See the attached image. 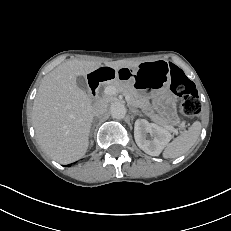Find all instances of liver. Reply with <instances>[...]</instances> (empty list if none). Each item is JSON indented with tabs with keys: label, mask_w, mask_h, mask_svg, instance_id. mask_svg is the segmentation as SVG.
Returning <instances> with one entry per match:
<instances>
[{
	"label": "liver",
	"mask_w": 231,
	"mask_h": 231,
	"mask_svg": "<svg viewBox=\"0 0 231 231\" xmlns=\"http://www.w3.org/2000/svg\"><path fill=\"white\" fill-rule=\"evenodd\" d=\"M139 63L118 60L105 66L118 71L135 69ZM100 67L101 63L95 61H66L47 74L39 86L32 110L36 139L59 163L75 162L86 153L94 104L77 86L76 78ZM102 101L107 104V100Z\"/></svg>",
	"instance_id": "1"
}]
</instances>
